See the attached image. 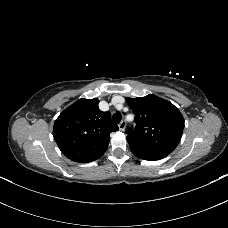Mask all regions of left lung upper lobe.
I'll return each mask as SVG.
<instances>
[{"label": "left lung upper lobe", "instance_id": "5c2ea615", "mask_svg": "<svg viewBox=\"0 0 228 228\" xmlns=\"http://www.w3.org/2000/svg\"><path fill=\"white\" fill-rule=\"evenodd\" d=\"M135 114V128L126 133L130 148L169 155L182 137L184 119L171 102L153 94L126 98Z\"/></svg>", "mask_w": 228, "mask_h": 228}]
</instances>
